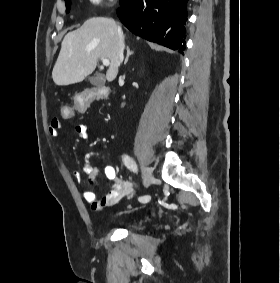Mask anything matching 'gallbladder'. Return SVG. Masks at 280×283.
Segmentation results:
<instances>
[{
    "mask_svg": "<svg viewBox=\"0 0 280 283\" xmlns=\"http://www.w3.org/2000/svg\"><path fill=\"white\" fill-rule=\"evenodd\" d=\"M89 82L96 87H101L105 83V76L101 73H97L96 75L89 77Z\"/></svg>",
    "mask_w": 280,
    "mask_h": 283,
    "instance_id": "1",
    "label": "gallbladder"
}]
</instances>
